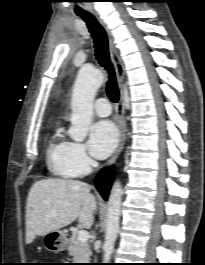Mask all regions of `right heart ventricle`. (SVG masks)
Wrapping results in <instances>:
<instances>
[{
    "instance_id": "obj_1",
    "label": "right heart ventricle",
    "mask_w": 205,
    "mask_h": 265,
    "mask_svg": "<svg viewBox=\"0 0 205 265\" xmlns=\"http://www.w3.org/2000/svg\"><path fill=\"white\" fill-rule=\"evenodd\" d=\"M70 142L65 139L62 130L57 128L51 135L46 148V163L49 171L62 178H72L76 175L68 165V150Z\"/></svg>"
}]
</instances>
